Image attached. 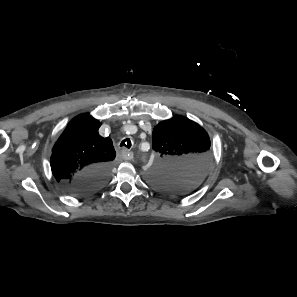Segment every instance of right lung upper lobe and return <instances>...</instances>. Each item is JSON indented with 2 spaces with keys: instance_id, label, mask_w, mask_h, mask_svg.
<instances>
[{
  "instance_id": "obj_1",
  "label": "right lung upper lobe",
  "mask_w": 297,
  "mask_h": 297,
  "mask_svg": "<svg viewBox=\"0 0 297 297\" xmlns=\"http://www.w3.org/2000/svg\"><path fill=\"white\" fill-rule=\"evenodd\" d=\"M101 123L89 114L70 121L53 148L51 169L56 180L69 185L80 172L96 165H111L115 158L112 140L99 135Z\"/></svg>"
}]
</instances>
